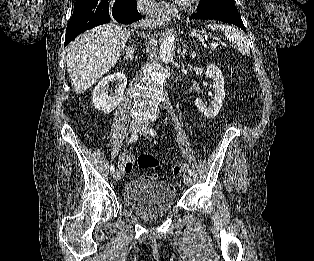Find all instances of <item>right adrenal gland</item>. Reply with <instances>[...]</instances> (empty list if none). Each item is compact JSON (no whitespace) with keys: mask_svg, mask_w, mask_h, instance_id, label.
<instances>
[{"mask_svg":"<svg viewBox=\"0 0 314 261\" xmlns=\"http://www.w3.org/2000/svg\"><path fill=\"white\" fill-rule=\"evenodd\" d=\"M125 51H126V55H125L124 58L126 60H133L134 59V49H133V47H126Z\"/></svg>","mask_w":314,"mask_h":261,"instance_id":"1","label":"right adrenal gland"}]
</instances>
